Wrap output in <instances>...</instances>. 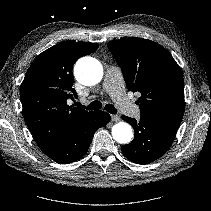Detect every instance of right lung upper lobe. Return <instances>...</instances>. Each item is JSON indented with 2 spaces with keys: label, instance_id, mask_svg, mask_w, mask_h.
<instances>
[{
  "label": "right lung upper lobe",
  "instance_id": "obj_1",
  "mask_svg": "<svg viewBox=\"0 0 211 211\" xmlns=\"http://www.w3.org/2000/svg\"><path fill=\"white\" fill-rule=\"evenodd\" d=\"M97 48L96 43H60L39 54L29 67L20 97L27 127L44 153L92 112L69 106L67 100L77 96L72 88L74 63Z\"/></svg>",
  "mask_w": 211,
  "mask_h": 211
}]
</instances>
